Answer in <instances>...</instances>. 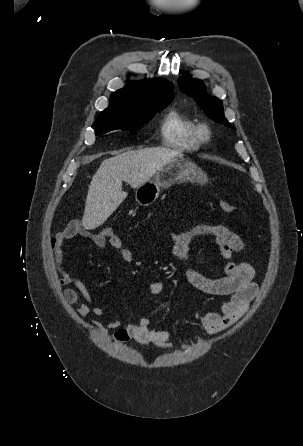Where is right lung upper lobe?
<instances>
[{"label": "right lung upper lobe", "mask_w": 303, "mask_h": 446, "mask_svg": "<svg viewBox=\"0 0 303 446\" xmlns=\"http://www.w3.org/2000/svg\"><path fill=\"white\" fill-rule=\"evenodd\" d=\"M173 97L172 84L163 78L133 81L111 95L105 110L140 113L169 104Z\"/></svg>", "instance_id": "right-lung-upper-lobe-1"}]
</instances>
